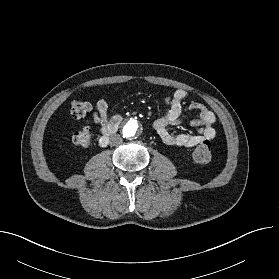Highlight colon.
Here are the masks:
<instances>
[{
  "instance_id": "obj_1",
  "label": "colon",
  "mask_w": 279,
  "mask_h": 279,
  "mask_svg": "<svg viewBox=\"0 0 279 279\" xmlns=\"http://www.w3.org/2000/svg\"><path fill=\"white\" fill-rule=\"evenodd\" d=\"M91 110V105L87 101H75L70 108V114L75 119H81ZM73 143L80 147H88L91 145L93 136L89 127H83L72 137ZM211 145L209 141L201 143L193 152V158L198 163H208L211 160Z\"/></svg>"
}]
</instances>
